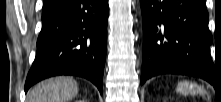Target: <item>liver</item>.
<instances>
[{"label":"liver","instance_id":"liver-1","mask_svg":"<svg viewBox=\"0 0 221 102\" xmlns=\"http://www.w3.org/2000/svg\"><path fill=\"white\" fill-rule=\"evenodd\" d=\"M78 84L70 77H55L40 82L28 95V102H68L78 94Z\"/></svg>","mask_w":221,"mask_h":102}]
</instances>
